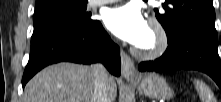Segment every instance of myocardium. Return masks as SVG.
I'll use <instances>...</instances> for the list:
<instances>
[{
	"label": "myocardium",
	"mask_w": 221,
	"mask_h": 102,
	"mask_svg": "<svg viewBox=\"0 0 221 102\" xmlns=\"http://www.w3.org/2000/svg\"><path fill=\"white\" fill-rule=\"evenodd\" d=\"M148 27L155 36V42L150 48L136 46L134 54L141 59L150 60L161 56L168 48L169 39L164 26L157 19H150Z\"/></svg>",
	"instance_id": "myocardium-1"
}]
</instances>
